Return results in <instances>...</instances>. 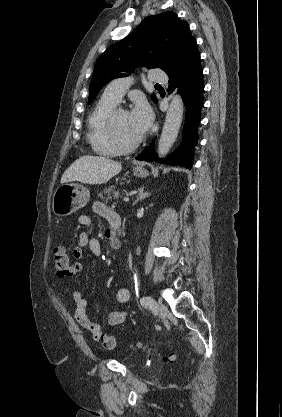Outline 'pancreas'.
Returning a JSON list of instances; mask_svg holds the SVG:
<instances>
[{
  "label": "pancreas",
  "mask_w": 282,
  "mask_h": 417,
  "mask_svg": "<svg viewBox=\"0 0 282 417\" xmlns=\"http://www.w3.org/2000/svg\"><path fill=\"white\" fill-rule=\"evenodd\" d=\"M105 194H108V196H105ZM120 192H119V188L117 190L116 186H114V184H112V186H107V188H104V190H102V192H99V196H101V198H103V200H105V202H108V200H116V198H118Z\"/></svg>",
  "instance_id": "obj_1"
}]
</instances>
